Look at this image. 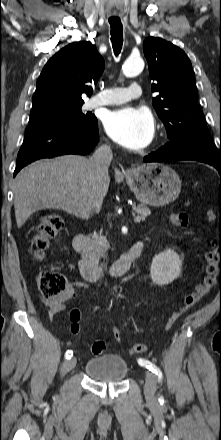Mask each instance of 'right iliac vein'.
<instances>
[{
	"instance_id": "63e3f726",
	"label": "right iliac vein",
	"mask_w": 221,
	"mask_h": 440,
	"mask_svg": "<svg viewBox=\"0 0 221 440\" xmlns=\"http://www.w3.org/2000/svg\"><path fill=\"white\" fill-rule=\"evenodd\" d=\"M76 358H71L68 361L64 362L63 367H62V374H66L67 372H69L70 370H72L75 365H76Z\"/></svg>"
}]
</instances>
